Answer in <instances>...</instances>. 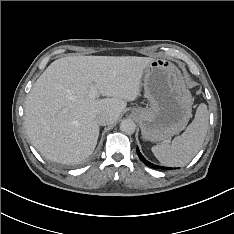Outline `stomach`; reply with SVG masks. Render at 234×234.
Here are the masks:
<instances>
[{"label": "stomach", "instance_id": "obj_1", "mask_svg": "<svg viewBox=\"0 0 234 234\" xmlns=\"http://www.w3.org/2000/svg\"><path fill=\"white\" fill-rule=\"evenodd\" d=\"M145 97L150 108H136L142 137L162 142L182 131L192 112V97L180 70L170 61L153 59L144 69Z\"/></svg>", "mask_w": 234, "mask_h": 234}]
</instances>
